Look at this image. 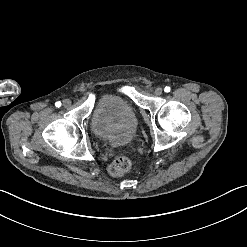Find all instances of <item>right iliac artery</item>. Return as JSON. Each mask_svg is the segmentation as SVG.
Instances as JSON below:
<instances>
[{
    "mask_svg": "<svg viewBox=\"0 0 247 247\" xmlns=\"http://www.w3.org/2000/svg\"><path fill=\"white\" fill-rule=\"evenodd\" d=\"M55 106L59 108L61 106V102L60 101L56 102Z\"/></svg>",
    "mask_w": 247,
    "mask_h": 247,
    "instance_id": "82829eb1",
    "label": "right iliac artery"
}]
</instances>
